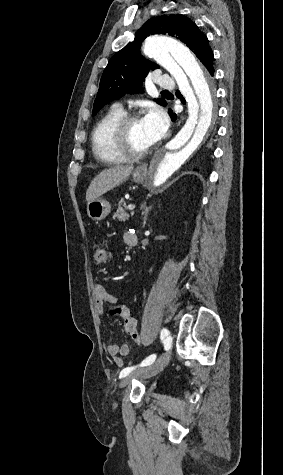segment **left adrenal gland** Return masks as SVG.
I'll return each instance as SVG.
<instances>
[{
  "label": "left adrenal gland",
  "mask_w": 283,
  "mask_h": 475,
  "mask_svg": "<svg viewBox=\"0 0 283 475\" xmlns=\"http://www.w3.org/2000/svg\"><path fill=\"white\" fill-rule=\"evenodd\" d=\"M151 208H152V206H149V208H147L146 202H144V204H142V206H141V210H143L142 214H144L142 228H145V226H146L148 212H149V210H151Z\"/></svg>",
  "instance_id": "left-adrenal-gland-1"
}]
</instances>
